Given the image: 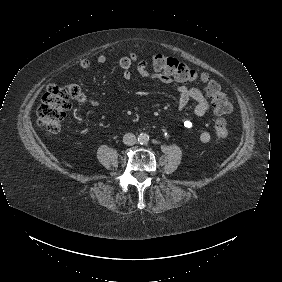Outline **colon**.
<instances>
[{
  "instance_id": "obj_1",
  "label": "colon",
  "mask_w": 282,
  "mask_h": 282,
  "mask_svg": "<svg viewBox=\"0 0 282 282\" xmlns=\"http://www.w3.org/2000/svg\"><path fill=\"white\" fill-rule=\"evenodd\" d=\"M152 67L163 75L165 81L177 85L189 84L195 81L197 73L185 63L163 54L153 56ZM203 89L212 98L218 113L229 114L232 111L231 101L221 91L220 86L209 75L200 77ZM84 96L79 88L51 83L42 96L37 109V123L43 127L48 135L57 134L62 128L66 112L73 104H81ZM230 131L223 119H216L213 124V136L216 143L225 140Z\"/></svg>"
}]
</instances>
